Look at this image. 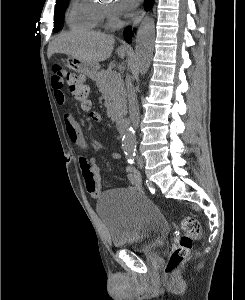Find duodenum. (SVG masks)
Instances as JSON below:
<instances>
[{"label": "duodenum", "mask_w": 245, "mask_h": 300, "mask_svg": "<svg viewBox=\"0 0 245 300\" xmlns=\"http://www.w3.org/2000/svg\"><path fill=\"white\" fill-rule=\"evenodd\" d=\"M116 125L119 132L124 134L128 127V120L124 117H119L116 119Z\"/></svg>", "instance_id": "1"}]
</instances>
